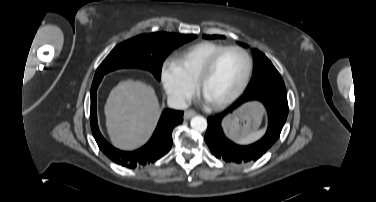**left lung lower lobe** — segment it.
Listing matches in <instances>:
<instances>
[{
	"label": "left lung lower lobe",
	"mask_w": 376,
	"mask_h": 202,
	"mask_svg": "<svg viewBox=\"0 0 376 202\" xmlns=\"http://www.w3.org/2000/svg\"><path fill=\"white\" fill-rule=\"evenodd\" d=\"M258 100L264 104L268 112V128L265 135L256 143L242 146L231 142L223 133L221 122L225 116L232 113L248 101ZM287 97L272 93H261L251 97L239 98L224 112L208 118L205 134L211 153L218 159L233 163L256 161L278 140L288 115Z\"/></svg>",
	"instance_id": "left-lung-lower-lobe-1"
}]
</instances>
